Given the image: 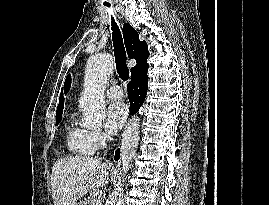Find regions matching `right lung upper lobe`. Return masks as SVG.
<instances>
[{
	"mask_svg": "<svg viewBox=\"0 0 269 205\" xmlns=\"http://www.w3.org/2000/svg\"><path fill=\"white\" fill-rule=\"evenodd\" d=\"M123 37L125 41L126 50L129 58H135L137 65L131 68V78L143 73L147 72L148 64L146 62L149 57L148 46L145 41L139 40V35L135 29L131 27L130 24L125 23L123 26ZM64 107V97L61 93L59 99V105L56 111V117L62 116V111Z\"/></svg>",
	"mask_w": 269,
	"mask_h": 205,
	"instance_id": "obj_1",
	"label": "right lung upper lobe"
}]
</instances>
